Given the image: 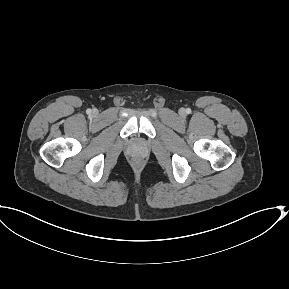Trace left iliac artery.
<instances>
[{"label": "left iliac artery", "mask_w": 289, "mask_h": 289, "mask_svg": "<svg viewBox=\"0 0 289 289\" xmlns=\"http://www.w3.org/2000/svg\"><path fill=\"white\" fill-rule=\"evenodd\" d=\"M186 113H187V114H190V113H191V109H190V108H187V109H186Z\"/></svg>", "instance_id": "obj_1"}]
</instances>
